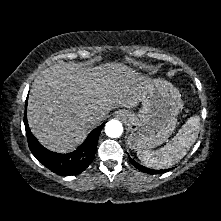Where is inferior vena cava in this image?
<instances>
[{
  "mask_svg": "<svg viewBox=\"0 0 221 221\" xmlns=\"http://www.w3.org/2000/svg\"><path fill=\"white\" fill-rule=\"evenodd\" d=\"M99 119V116L97 115H90L89 117H87L86 121L90 124H94L96 123V121Z\"/></svg>",
  "mask_w": 221,
  "mask_h": 221,
  "instance_id": "obj_1",
  "label": "inferior vena cava"
}]
</instances>
